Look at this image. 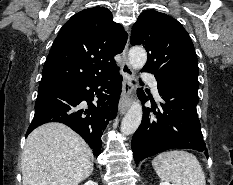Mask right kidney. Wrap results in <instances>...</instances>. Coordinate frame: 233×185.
Returning a JSON list of instances; mask_svg holds the SVG:
<instances>
[{"label": "right kidney", "instance_id": "right-kidney-1", "mask_svg": "<svg viewBox=\"0 0 233 185\" xmlns=\"http://www.w3.org/2000/svg\"><path fill=\"white\" fill-rule=\"evenodd\" d=\"M84 185H98L97 182H94L92 180L87 181Z\"/></svg>", "mask_w": 233, "mask_h": 185}]
</instances>
